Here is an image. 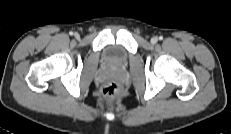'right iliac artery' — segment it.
<instances>
[{
    "instance_id": "1",
    "label": "right iliac artery",
    "mask_w": 231,
    "mask_h": 134,
    "mask_svg": "<svg viewBox=\"0 0 231 134\" xmlns=\"http://www.w3.org/2000/svg\"><path fill=\"white\" fill-rule=\"evenodd\" d=\"M69 34H70V35H73L74 33L71 31V32H69Z\"/></svg>"
}]
</instances>
